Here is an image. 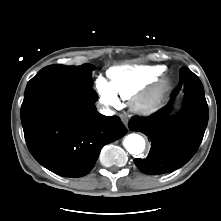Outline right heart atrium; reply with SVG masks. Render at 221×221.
I'll list each match as a JSON object with an SVG mask.
<instances>
[{
    "mask_svg": "<svg viewBox=\"0 0 221 221\" xmlns=\"http://www.w3.org/2000/svg\"><path fill=\"white\" fill-rule=\"evenodd\" d=\"M96 90L100 96V101L107 107L116 108L120 105L119 99L110 84L99 78L96 82Z\"/></svg>",
    "mask_w": 221,
    "mask_h": 221,
    "instance_id": "d8ad5b80",
    "label": "right heart atrium"
}]
</instances>
